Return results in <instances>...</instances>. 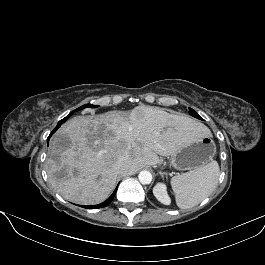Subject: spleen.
Segmentation results:
<instances>
[{"instance_id":"3e777b00","label":"spleen","mask_w":265,"mask_h":265,"mask_svg":"<svg viewBox=\"0 0 265 265\" xmlns=\"http://www.w3.org/2000/svg\"><path fill=\"white\" fill-rule=\"evenodd\" d=\"M219 175V165L212 160L197 169L172 177L171 186L177 206L189 209L198 205L216 188Z\"/></svg>"}]
</instances>
